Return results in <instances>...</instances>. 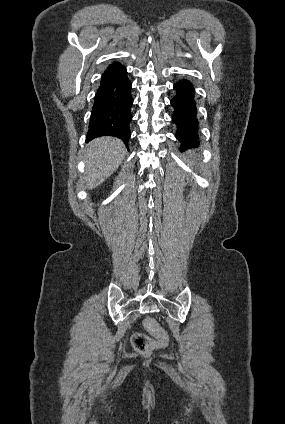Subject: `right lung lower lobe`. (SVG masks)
<instances>
[{
	"label": "right lung lower lobe",
	"instance_id": "98d812e1",
	"mask_svg": "<svg viewBox=\"0 0 285 424\" xmlns=\"http://www.w3.org/2000/svg\"><path fill=\"white\" fill-rule=\"evenodd\" d=\"M131 88L132 83L127 77L126 68L119 62L110 64L101 77L94 97L87 141L101 136H113L123 140L127 146L131 136Z\"/></svg>",
	"mask_w": 285,
	"mask_h": 424
}]
</instances>
